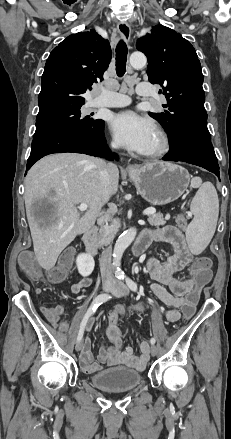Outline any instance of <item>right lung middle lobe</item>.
<instances>
[{"label": "right lung middle lobe", "mask_w": 231, "mask_h": 439, "mask_svg": "<svg viewBox=\"0 0 231 439\" xmlns=\"http://www.w3.org/2000/svg\"><path fill=\"white\" fill-rule=\"evenodd\" d=\"M81 107L67 109L36 118L34 138L56 132L90 133L102 128L104 121L81 116Z\"/></svg>", "instance_id": "obj_1"}]
</instances>
